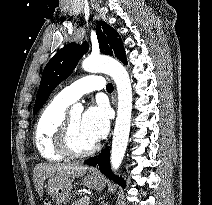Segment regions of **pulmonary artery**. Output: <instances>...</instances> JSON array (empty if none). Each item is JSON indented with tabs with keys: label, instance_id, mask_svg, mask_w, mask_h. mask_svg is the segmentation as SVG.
I'll use <instances>...</instances> for the list:
<instances>
[{
	"label": "pulmonary artery",
	"instance_id": "obj_1",
	"mask_svg": "<svg viewBox=\"0 0 212 205\" xmlns=\"http://www.w3.org/2000/svg\"><path fill=\"white\" fill-rule=\"evenodd\" d=\"M104 87L105 83L102 76L95 74L88 75L63 88L57 96L61 100L71 104L84 94L95 90H101Z\"/></svg>",
	"mask_w": 212,
	"mask_h": 205
}]
</instances>
